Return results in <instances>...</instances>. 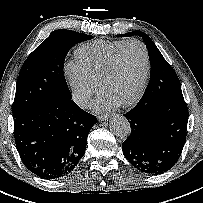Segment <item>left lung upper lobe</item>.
<instances>
[{
	"mask_svg": "<svg viewBox=\"0 0 203 203\" xmlns=\"http://www.w3.org/2000/svg\"><path fill=\"white\" fill-rule=\"evenodd\" d=\"M138 35L148 49L151 62V78L145 93L138 104H151L162 101L184 100L180 81L174 69L164 59L149 36L141 31L120 34L121 37Z\"/></svg>",
	"mask_w": 203,
	"mask_h": 203,
	"instance_id": "left-lung-upper-lobe-1",
	"label": "left lung upper lobe"
}]
</instances>
